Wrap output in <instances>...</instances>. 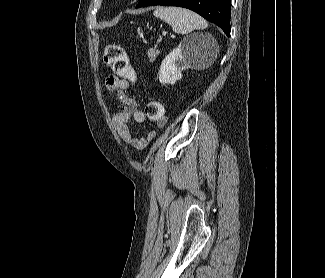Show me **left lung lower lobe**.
I'll return each instance as SVG.
<instances>
[{
    "instance_id": "obj_1",
    "label": "left lung lower lobe",
    "mask_w": 325,
    "mask_h": 278,
    "mask_svg": "<svg viewBox=\"0 0 325 278\" xmlns=\"http://www.w3.org/2000/svg\"><path fill=\"white\" fill-rule=\"evenodd\" d=\"M151 5L188 8L218 25L230 36L231 0H140L136 8Z\"/></svg>"
}]
</instances>
